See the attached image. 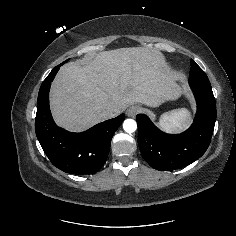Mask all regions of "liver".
<instances>
[{"instance_id": "liver-1", "label": "liver", "mask_w": 236, "mask_h": 236, "mask_svg": "<svg viewBox=\"0 0 236 236\" xmlns=\"http://www.w3.org/2000/svg\"><path fill=\"white\" fill-rule=\"evenodd\" d=\"M179 94L161 53L119 48L62 66L52 83L50 106L57 125L80 132L104 121L109 110L134 103L156 107Z\"/></svg>"}]
</instances>
